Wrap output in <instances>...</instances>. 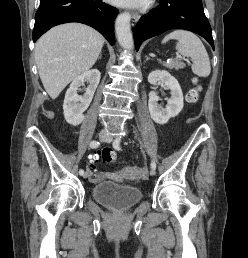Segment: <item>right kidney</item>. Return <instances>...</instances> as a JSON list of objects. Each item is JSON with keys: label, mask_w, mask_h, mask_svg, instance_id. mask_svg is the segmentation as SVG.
Wrapping results in <instances>:
<instances>
[{"label": "right kidney", "mask_w": 248, "mask_h": 258, "mask_svg": "<svg viewBox=\"0 0 248 258\" xmlns=\"http://www.w3.org/2000/svg\"><path fill=\"white\" fill-rule=\"evenodd\" d=\"M101 74L97 69L84 72L73 80L65 94L63 110L67 123L77 126L84 120L83 113L89 107L96 88L100 82ZM85 82L89 83L86 93L83 96L77 94L78 88Z\"/></svg>", "instance_id": "right-kidney-1"}]
</instances>
